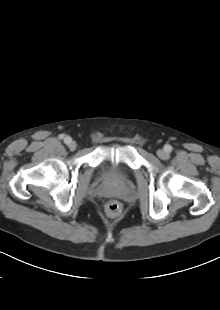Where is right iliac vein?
Listing matches in <instances>:
<instances>
[{
	"label": "right iliac vein",
	"instance_id": "obj_1",
	"mask_svg": "<svg viewBox=\"0 0 220 310\" xmlns=\"http://www.w3.org/2000/svg\"><path fill=\"white\" fill-rule=\"evenodd\" d=\"M68 147L70 150L74 151L77 148V143L75 141H71Z\"/></svg>",
	"mask_w": 220,
	"mask_h": 310
}]
</instances>
